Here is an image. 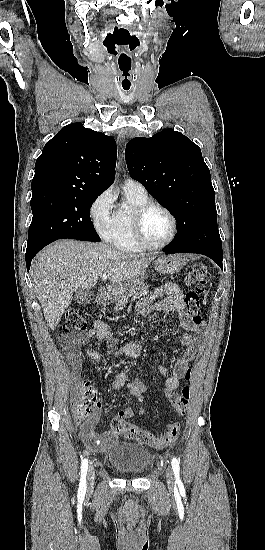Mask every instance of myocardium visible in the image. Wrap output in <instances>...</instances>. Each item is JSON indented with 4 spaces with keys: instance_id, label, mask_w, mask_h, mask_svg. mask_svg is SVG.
Masks as SVG:
<instances>
[{
    "instance_id": "f54148a6",
    "label": "myocardium",
    "mask_w": 265,
    "mask_h": 550,
    "mask_svg": "<svg viewBox=\"0 0 265 550\" xmlns=\"http://www.w3.org/2000/svg\"><path fill=\"white\" fill-rule=\"evenodd\" d=\"M152 209H160L167 214L171 221V232L169 237L162 243L153 244L146 240L143 234V220L145 215ZM132 232L133 237L140 248L144 249H161L173 242L177 235V220L175 215L171 212L166 206L157 203L148 201L134 210L132 218Z\"/></svg>"
}]
</instances>
